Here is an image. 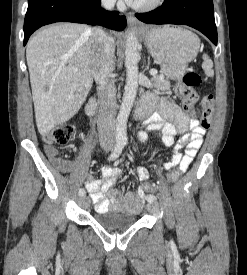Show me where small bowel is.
<instances>
[{
  "label": "small bowel",
  "instance_id": "c3829d8e",
  "mask_svg": "<svg viewBox=\"0 0 247 275\" xmlns=\"http://www.w3.org/2000/svg\"><path fill=\"white\" fill-rule=\"evenodd\" d=\"M142 103L148 110L149 117L146 120L148 130L159 131L163 144L173 148L171 159L161 165L162 169L168 171L178 165L180 170L185 172L202 145L206 129L200 125L197 119L189 117L171 100L147 95L143 98ZM154 108L156 110L150 114ZM177 135H181V137L178 142H175ZM147 138L148 134L142 133V139L146 140ZM184 148L185 151L182 152ZM44 150L49 161L57 170L62 173L78 175L77 164L60 157L54 146L46 145ZM119 175L120 170L110 163L103 164L101 178H95L92 174L87 175L85 188L95 204L96 212L114 211L130 214L140 212L145 201V192L141 187L135 193L114 188ZM137 177L139 180L147 179V170L139 167Z\"/></svg>",
  "mask_w": 247,
  "mask_h": 275
}]
</instances>
